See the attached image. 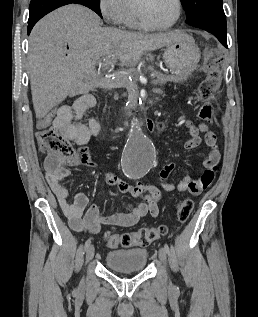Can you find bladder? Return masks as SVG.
<instances>
[{"label":"bladder","mask_w":258,"mask_h":317,"mask_svg":"<svg viewBox=\"0 0 258 317\" xmlns=\"http://www.w3.org/2000/svg\"><path fill=\"white\" fill-rule=\"evenodd\" d=\"M147 257L144 248L112 250L107 252L105 263L116 271H141L146 267Z\"/></svg>","instance_id":"bladder-1"}]
</instances>
